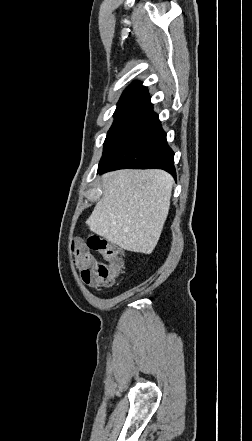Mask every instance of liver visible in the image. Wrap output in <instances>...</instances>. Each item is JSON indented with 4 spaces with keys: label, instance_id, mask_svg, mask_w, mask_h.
Here are the masks:
<instances>
[{
    "label": "liver",
    "instance_id": "liver-1",
    "mask_svg": "<svg viewBox=\"0 0 252 441\" xmlns=\"http://www.w3.org/2000/svg\"><path fill=\"white\" fill-rule=\"evenodd\" d=\"M173 184V177L158 169L106 173L102 199L86 223L124 250L150 254L168 216Z\"/></svg>",
    "mask_w": 252,
    "mask_h": 441
}]
</instances>
